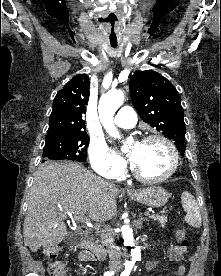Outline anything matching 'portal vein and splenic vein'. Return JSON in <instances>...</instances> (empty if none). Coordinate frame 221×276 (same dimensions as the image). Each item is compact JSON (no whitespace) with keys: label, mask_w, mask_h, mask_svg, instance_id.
I'll return each instance as SVG.
<instances>
[{"label":"portal vein and splenic vein","mask_w":221,"mask_h":276,"mask_svg":"<svg viewBox=\"0 0 221 276\" xmlns=\"http://www.w3.org/2000/svg\"><path fill=\"white\" fill-rule=\"evenodd\" d=\"M145 215H146V216H150V213H149V212H145ZM74 218H75L77 221L81 222V223H85V224H87V225L90 224L89 219L84 215V213H79L78 215H75Z\"/></svg>","instance_id":"portal-vein-and-splenic-vein-1"}]
</instances>
